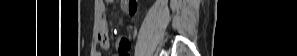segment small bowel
Returning a JSON list of instances; mask_svg holds the SVG:
<instances>
[{
  "label": "small bowel",
  "instance_id": "obj_1",
  "mask_svg": "<svg viewBox=\"0 0 297 56\" xmlns=\"http://www.w3.org/2000/svg\"><path fill=\"white\" fill-rule=\"evenodd\" d=\"M113 3L112 0L102 1L100 3L102 16L100 19V26L98 30V42L102 49L107 50L110 48V38H109V29L107 25V20L105 17V12L108 7ZM120 6L123 10L129 11L131 14H134L137 10V6L134 1L122 0ZM116 47L118 50L117 56H129L128 51L130 48V42L126 37H120L116 42ZM100 52H96V56H101Z\"/></svg>",
  "mask_w": 297,
  "mask_h": 56
}]
</instances>
